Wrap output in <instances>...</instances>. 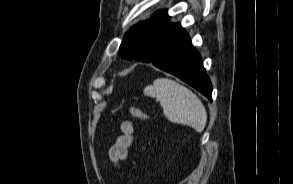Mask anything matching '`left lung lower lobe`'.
Listing matches in <instances>:
<instances>
[{
  "mask_svg": "<svg viewBox=\"0 0 293 184\" xmlns=\"http://www.w3.org/2000/svg\"><path fill=\"white\" fill-rule=\"evenodd\" d=\"M147 50L151 57L143 62H151L159 69L175 75L212 101V84L201 56L179 23L168 22L162 33L151 39Z\"/></svg>",
  "mask_w": 293,
  "mask_h": 184,
  "instance_id": "left-lung-lower-lobe-1",
  "label": "left lung lower lobe"
}]
</instances>
